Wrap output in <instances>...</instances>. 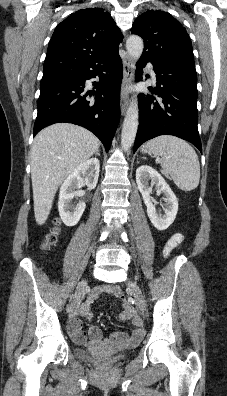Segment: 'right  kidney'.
<instances>
[{
	"instance_id": "right-kidney-1",
	"label": "right kidney",
	"mask_w": 227,
	"mask_h": 396,
	"mask_svg": "<svg viewBox=\"0 0 227 396\" xmlns=\"http://www.w3.org/2000/svg\"><path fill=\"white\" fill-rule=\"evenodd\" d=\"M100 163L97 158L86 160L77 166L64 180L60 188L58 210L61 220L66 226H75L84 210L85 202L79 201L73 204V199L79 196L76 189L86 185L88 189H94L98 182Z\"/></svg>"
}]
</instances>
